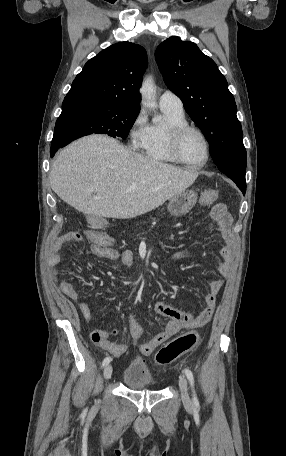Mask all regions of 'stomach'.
<instances>
[{
	"instance_id": "1",
	"label": "stomach",
	"mask_w": 286,
	"mask_h": 456,
	"mask_svg": "<svg viewBox=\"0 0 286 456\" xmlns=\"http://www.w3.org/2000/svg\"><path fill=\"white\" fill-rule=\"evenodd\" d=\"M196 202L197 194L193 190H185L170 199L167 209L172 215L181 216L187 214Z\"/></svg>"
}]
</instances>
